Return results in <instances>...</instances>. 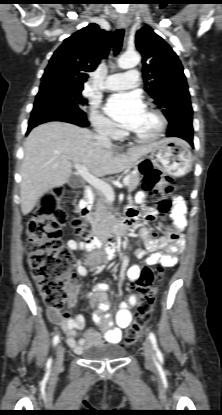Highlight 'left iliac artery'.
I'll list each match as a JSON object with an SVG mask.
<instances>
[{
  "mask_svg": "<svg viewBox=\"0 0 222 415\" xmlns=\"http://www.w3.org/2000/svg\"><path fill=\"white\" fill-rule=\"evenodd\" d=\"M149 339L151 340V343L153 345V350L156 352V354H161L160 350L158 349L157 340H156L154 333L151 332L149 334Z\"/></svg>",
  "mask_w": 222,
  "mask_h": 415,
  "instance_id": "1",
  "label": "left iliac artery"
}]
</instances>
